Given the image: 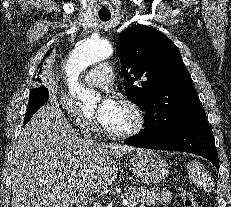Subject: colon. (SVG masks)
I'll return each mask as SVG.
<instances>
[{"label":"colon","instance_id":"colon-1","mask_svg":"<svg viewBox=\"0 0 231 207\" xmlns=\"http://www.w3.org/2000/svg\"><path fill=\"white\" fill-rule=\"evenodd\" d=\"M181 195L183 199V207H202L190 190H182Z\"/></svg>","mask_w":231,"mask_h":207}]
</instances>
